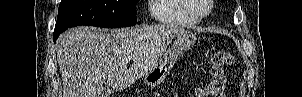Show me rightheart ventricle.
<instances>
[{"label":"right heart ventricle","instance_id":"1","mask_svg":"<svg viewBox=\"0 0 302 97\" xmlns=\"http://www.w3.org/2000/svg\"><path fill=\"white\" fill-rule=\"evenodd\" d=\"M150 12L161 25L189 27L197 23L183 12L180 0H152Z\"/></svg>","mask_w":302,"mask_h":97}]
</instances>
